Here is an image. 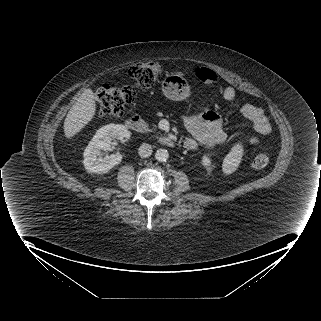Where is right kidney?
Instances as JSON below:
<instances>
[{
  "mask_svg": "<svg viewBox=\"0 0 321 321\" xmlns=\"http://www.w3.org/2000/svg\"><path fill=\"white\" fill-rule=\"evenodd\" d=\"M130 132L125 126L109 124L100 128L84 151V167L87 171L96 174L107 173L122 161L120 153H113L106 157H98L101 150L108 151L113 146V140L129 138Z\"/></svg>",
  "mask_w": 321,
  "mask_h": 321,
  "instance_id": "ca27d5eb",
  "label": "right kidney"
}]
</instances>
